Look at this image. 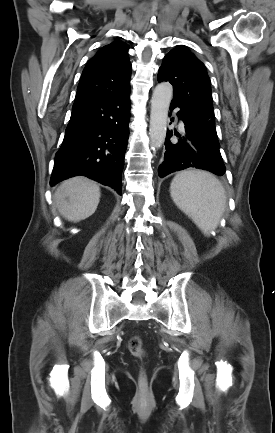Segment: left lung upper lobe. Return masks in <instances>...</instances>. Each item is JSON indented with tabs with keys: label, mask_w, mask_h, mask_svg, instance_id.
Masks as SVG:
<instances>
[{
	"label": "left lung upper lobe",
	"mask_w": 275,
	"mask_h": 433,
	"mask_svg": "<svg viewBox=\"0 0 275 433\" xmlns=\"http://www.w3.org/2000/svg\"><path fill=\"white\" fill-rule=\"evenodd\" d=\"M158 81H169L173 85V98L183 103L190 121L218 143L210 79L204 64L180 45L164 57Z\"/></svg>",
	"instance_id": "1"
}]
</instances>
